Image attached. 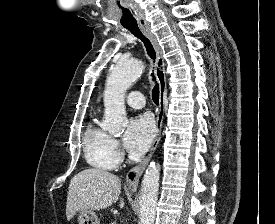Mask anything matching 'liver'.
<instances>
[{
  "mask_svg": "<svg viewBox=\"0 0 275 224\" xmlns=\"http://www.w3.org/2000/svg\"><path fill=\"white\" fill-rule=\"evenodd\" d=\"M121 192L118 176L98 168H90L76 174L68 188L66 217L70 221L81 210L99 211L116 202ZM124 200H120V208Z\"/></svg>",
  "mask_w": 275,
  "mask_h": 224,
  "instance_id": "liver-1",
  "label": "liver"
}]
</instances>
